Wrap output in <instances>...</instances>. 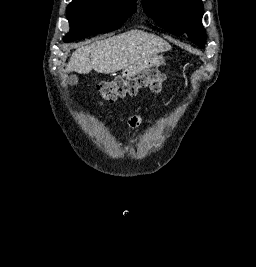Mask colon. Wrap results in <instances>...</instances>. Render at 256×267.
Listing matches in <instances>:
<instances>
[{
    "mask_svg": "<svg viewBox=\"0 0 256 267\" xmlns=\"http://www.w3.org/2000/svg\"><path fill=\"white\" fill-rule=\"evenodd\" d=\"M166 82L162 72L144 71L136 77H118L114 81L105 82L98 86L101 102H111L125 96H134L142 88L161 92Z\"/></svg>",
    "mask_w": 256,
    "mask_h": 267,
    "instance_id": "5ec220e1",
    "label": "colon"
}]
</instances>
